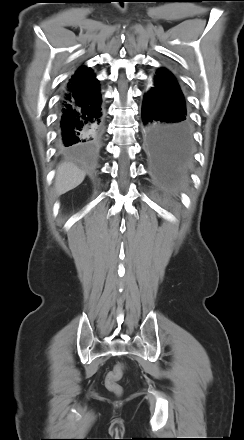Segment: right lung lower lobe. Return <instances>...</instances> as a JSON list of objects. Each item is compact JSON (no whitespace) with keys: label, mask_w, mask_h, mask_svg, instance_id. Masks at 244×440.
Here are the masks:
<instances>
[{"label":"right lung lower lobe","mask_w":244,"mask_h":440,"mask_svg":"<svg viewBox=\"0 0 244 440\" xmlns=\"http://www.w3.org/2000/svg\"><path fill=\"white\" fill-rule=\"evenodd\" d=\"M101 95L78 101H61L58 121L59 147L76 150L96 139L102 129Z\"/></svg>","instance_id":"right-lung-lower-lobe-1"}]
</instances>
